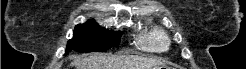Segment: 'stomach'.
I'll return each mask as SVG.
<instances>
[{"mask_svg":"<svg viewBox=\"0 0 246 69\" xmlns=\"http://www.w3.org/2000/svg\"><path fill=\"white\" fill-rule=\"evenodd\" d=\"M151 69H171V68L166 65H157L155 67H152Z\"/></svg>","mask_w":246,"mask_h":69,"instance_id":"stomach-1","label":"stomach"}]
</instances>
